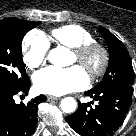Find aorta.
<instances>
[{
	"mask_svg": "<svg viewBox=\"0 0 136 136\" xmlns=\"http://www.w3.org/2000/svg\"><path fill=\"white\" fill-rule=\"evenodd\" d=\"M67 51L63 48H55L50 50L48 54V60L54 65L57 66H66L69 63L66 60ZM60 107L65 113H72L76 110L77 103L74 98L66 97L62 99Z\"/></svg>",
	"mask_w": 136,
	"mask_h": 136,
	"instance_id": "1",
	"label": "aorta"
}]
</instances>
